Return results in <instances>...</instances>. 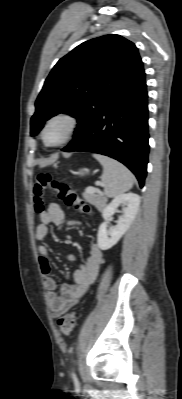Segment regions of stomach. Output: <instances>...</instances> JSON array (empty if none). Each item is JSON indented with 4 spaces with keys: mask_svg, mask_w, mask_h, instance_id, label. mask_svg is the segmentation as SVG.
Returning a JSON list of instances; mask_svg holds the SVG:
<instances>
[{
    "mask_svg": "<svg viewBox=\"0 0 182 399\" xmlns=\"http://www.w3.org/2000/svg\"><path fill=\"white\" fill-rule=\"evenodd\" d=\"M74 173L77 174V175H84L86 173H89V169L83 168V169H80L79 171L74 172Z\"/></svg>",
    "mask_w": 182,
    "mask_h": 399,
    "instance_id": "obj_1",
    "label": "stomach"
}]
</instances>
